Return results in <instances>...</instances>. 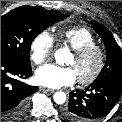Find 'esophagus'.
Masks as SVG:
<instances>
[{"mask_svg":"<svg viewBox=\"0 0 122 122\" xmlns=\"http://www.w3.org/2000/svg\"><path fill=\"white\" fill-rule=\"evenodd\" d=\"M40 90H41V91H44V92H50V93H54V92H55V90L50 89V88H45V87H41Z\"/></svg>","mask_w":122,"mask_h":122,"instance_id":"1","label":"esophagus"}]
</instances>
